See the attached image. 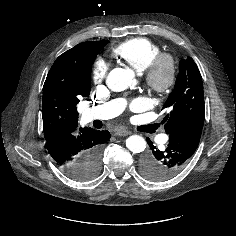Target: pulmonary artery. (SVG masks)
I'll return each instance as SVG.
<instances>
[{"instance_id":"e3ab8cb5","label":"pulmonary artery","mask_w":236,"mask_h":236,"mask_svg":"<svg viewBox=\"0 0 236 236\" xmlns=\"http://www.w3.org/2000/svg\"><path fill=\"white\" fill-rule=\"evenodd\" d=\"M126 105V101L123 98H118L106 102L102 105L96 106L94 108L87 109L84 112L85 121L89 122L94 119H110L119 115ZM168 140L167 135L161 136V142H166Z\"/></svg>"}]
</instances>
